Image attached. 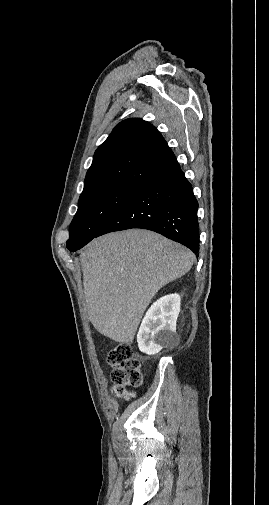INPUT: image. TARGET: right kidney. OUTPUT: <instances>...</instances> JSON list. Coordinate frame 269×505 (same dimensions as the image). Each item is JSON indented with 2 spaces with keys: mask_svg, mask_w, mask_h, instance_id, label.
Here are the masks:
<instances>
[{
  "mask_svg": "<svg viewBox=\"0 0 269 505\" xmlns=\"http://www.w3.org/2000/svg\"><path fill=\"white\" fill-rule=\"evenodd\" d=\"M180 301V295L175 293L163 296L152 304L137 334L141 352L154 355L175 341Z\"/></svg>",
  "mask_w": 269,
  "mask_h": 505,
  "instance_id": "right-kidney-1",
  "label": "right kidney"
}]
</instances>
